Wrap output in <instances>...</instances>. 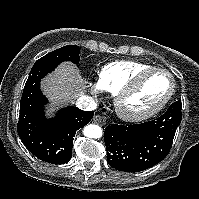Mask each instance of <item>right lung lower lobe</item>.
I'll return each instance as SVG.
<instances>
[{"label":"right lung lower lobe","instance_id":"98d812e1","mask_svg":"<svg viewBox=\"0 0 199 199\" xmlns=\"http://www.w3.org/2000/svg\"><path fill=\"white\" fill-rule=\"evenodd\" d=\"M57 66L56 63L44 64L31 69L20 101L17 131L23 144L37 158L63 164L71 159L76 131L90 122L94 111L67 107L55 118H45L47 99L40 90V81Z\"/></svg>","mask_w":199,"mask_h":199}]
</instances>
